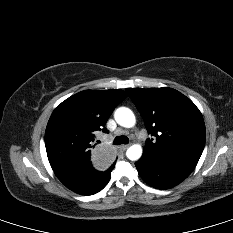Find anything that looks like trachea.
<instances>
[{
  "mask_svg": "<svg viewBox=\"0 0 233 233\" xmlns=\"http://www.w3.org/2000/svg\"><path fill=\"white\" fill-rule=\"evenodd\" d=\"M129 143V139L126 136H117L114 139V144L115 145H120V144H128Z\"/></svg>",
  "mask_w": 233,
  "mask_h": 233,
  "instance_id": "obj_1",
  "label": "trachea"
}]
</instances>
